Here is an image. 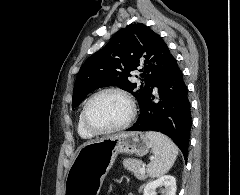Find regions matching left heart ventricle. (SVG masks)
Segmentation results:
<instances>
[{
    "instance_id": "obj_1",
    "label": "left heart ventricle",
    "mask_w": 240,
    "mask_h": 195,
    "mask_svg": "<svg viewBox=\"0 0 240 195\" xmlns=\"http://www.w3.org/2000/svg\"><path fill=\"white\" fill-rule=\"evenodd\" d=\"M127 100L119 94L108 93L97 98L88 111L89 123L97 129H107L123 123L129 116Z\"/></svg>"
}]
</instances>
